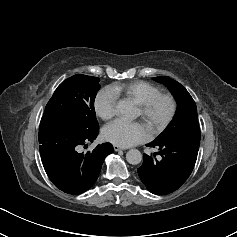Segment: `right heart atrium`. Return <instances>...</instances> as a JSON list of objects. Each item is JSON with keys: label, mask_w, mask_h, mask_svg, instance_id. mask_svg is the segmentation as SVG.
<instances>
[{"label": "right heart atrium", "mask_w": 237, "mask_h": 237, "mask_svg": "<svg viewBox=\"0 0 237 237\" xmlns=\"http://www.w3.org/2000/svg\"><path fill=\"white\" fill-rule=\"evenodd\" d=\"M117 105L118 98L109 88L100 90L94 98L95 113L105 121L110 120L115 116Z\"/></svg>", "instance_id": "right-heart-atrium-1"}]
</instances>
